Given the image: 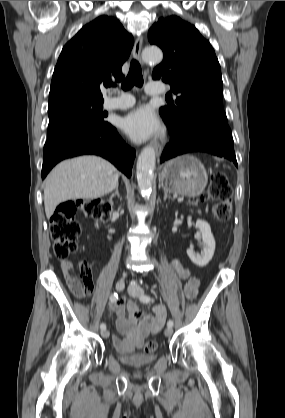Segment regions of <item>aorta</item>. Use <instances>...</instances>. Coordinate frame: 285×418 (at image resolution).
Returning a JSON list of instances; mask_svg holds the SVG:
<instances>
[{
	"label": "aorta",
	"mask_w": 285,
	"mask_h": 418,
	"mask_svg": "<svg viewBox=\"0 0 285 418\" xmlns=\"http://www.w3.org/2000/svg\"><path fill=\"white\" fill-rule=\"evenodd\" d=\"M142 58L147 63H158L162 60L163 54L158 48H146L142 52ZM155 163L154 148L145 147L138 157L136 173L139 190L146 201L150 199L152 193Z\"/></svg>",
	"instance_id": "obj_1"
}]
</instances>
